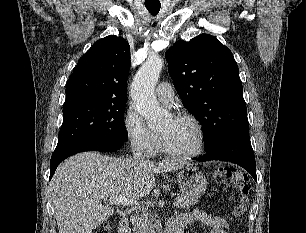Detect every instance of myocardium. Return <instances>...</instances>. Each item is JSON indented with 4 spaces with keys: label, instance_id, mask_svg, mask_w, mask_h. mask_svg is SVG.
Segmentation results:
<instances>
[{
    "label": "myocardium",
    "instance_id": "1",
    "mask_svg": "<svg viewBox=\"0 0 306 233\" xmlns=\"http://www.w3.org/2000/svg\"><path fill=\"white\" fill-rule=\"evenodd\" d=\"M173 117L175 119H186V120H190L191 122L194 123V125L197 128L198 134H199V144L196 150L191 151V152H179L176 151L174 149H172L163 134L159 133L160 135V140H161V148L163 150L164 153L170 155V156H174V157H178V158H193V157H197L200 154H202V152L204 151L205 148V130L204 127L201 123V121L193 114L188 113V112H178L175 113L173 115Z\"/></svg>",
    "mask_w": 306,
    "mask_h": 233
}]
</instances>
